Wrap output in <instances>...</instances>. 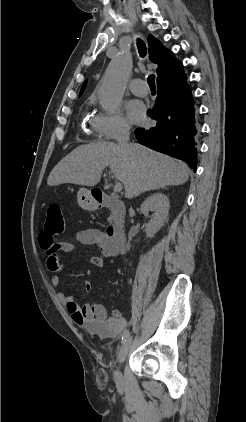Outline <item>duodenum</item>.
Returning a JSON list of instances; mask_svg holds the SVG:
<instances>
[{
  "label": "duodenum",
  "mask_w": 246,
  "mask_h": 422,
  "mask_svg": "<svg viewBox=\"0 0 246 422\" xmlns=\"http://www.w3.org/2000/svg\"><path fill=\"white\" fill-rule=\"evenodd\" d=\"M94 201L96 207L107 208L110 211L111 222L107 228V235L116 248L123 252L126 248V233L123 225L124 204L108 195H95Z\"/></svg>",
  "instance_id": "410a0bca"
}]
</instances>
